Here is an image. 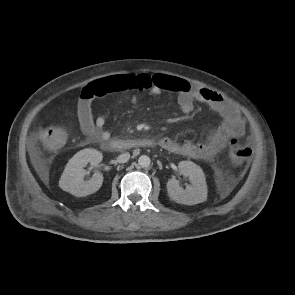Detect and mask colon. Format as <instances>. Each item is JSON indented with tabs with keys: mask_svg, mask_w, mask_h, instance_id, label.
Wrapping results in <instances>:
<instances>
[{
	"mask_svg": "<svg viewBox=\"0 0 295 295\" xmlns=\"http://www.w3.org/2000/svg\"><path fill=\"white\" fill-rule=\"evenodd\" d=\"M42 144L49 150H56L62 147L66 140L64 131L59 128H46L38 135ZM228 156L238 166L240 171L244 170L252 156V150L234 138L229 141Z\"/></svg>",
	"mask_w": 295,
	"mask_h": 295,
	"instance_id": "colon-1",
	"label": "colon"
}]
</instances>
